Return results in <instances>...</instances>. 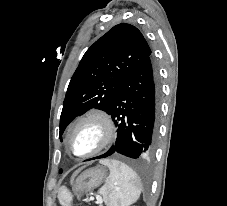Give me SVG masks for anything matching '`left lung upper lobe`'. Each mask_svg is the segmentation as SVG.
I'll return each instance as SVG.
<instances>
[{"instance_id": "obj_1", "label": "left lung upper lobe", "mask_w": 227, "mask_h": 206, "mask_svg": "<svg viewBox=\"0 0 227 206\" xmlns=\"http://www.w3.org/2000/svg\"><path fill=\"white\" fill-rule=\"evenodd\" d=\"M151 50L141 32L121 23L99 38L84 54L69 83L60 118V133L90 108L110 112L124 81Z\"/></svg>"}]
</instances>
